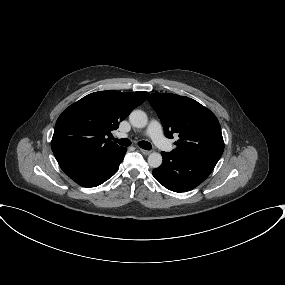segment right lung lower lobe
<instances>
[{"mask_svg":"<svg viewBox=\"0 0 285 285\" xmlns=\"http://www.w3.org/2000/svg\"><path fill=\"white\" fill-rule=\"evenodd\" d=\"M126 148L97 154H86L83 151L65 152L55 155L61 169L73 181L83 187H96L118 170Z\"/></svg>","mask_w":285,"mask_h":285,"instance_id":"98d812e1","label":"right lung lower lobe"}]
</instances>
